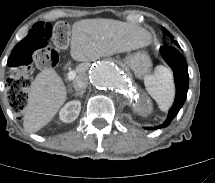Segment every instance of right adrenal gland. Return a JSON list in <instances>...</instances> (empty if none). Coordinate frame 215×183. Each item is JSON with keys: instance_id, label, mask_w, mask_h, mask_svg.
<instances>
[{"instance_id": "right-adrenal-gland-1", "label": "right adrenal gland", "mask_w": 215, "mask_h": 183, "mask_svg": "<svg viewBox=\"0 0 215 183\" xmlns=\"http://www.w3.org/2000/svg\"><path fill=\"white\" fill-rule=\"evenodd\" d=\"M84 92H85V90H84V89H83V90H81V91H79V92H75V93H74V96H76V97H78V96L82 97V96H83V94H84Z\"/></svg>"}]
</instances>
